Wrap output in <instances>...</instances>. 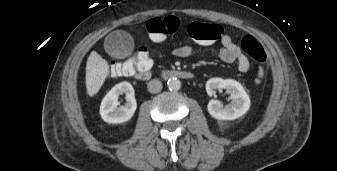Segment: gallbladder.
<instances>
[{
	"label": "gallbladder",
	"instance_id": "1",
	"mask_svg": "<svg viewBox=\"0 0 337 171\" xmlns=\"http://www.w3.org/2000/svg\"><path fill=\"white\" fill-rule=\"evenodd\" d=\"M104 47L111 56L124 58L133 50V39L125 31H115L106 37Z\"/></svg>",
	"mask_w": 337,
	"mask_h": 171
}]
</instances>
